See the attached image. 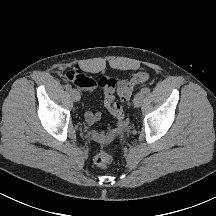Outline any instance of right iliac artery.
<instances>
[{"mask_svg":"<svg viewBox=\"0 0 216 216\" xmlns=\"http://www.w3.org/2000/svg\"><path fill=\"white\" fill-rule=\"evenodd\" d=\"M65 89L68 90V91H70V90L72 89V87H71V85L66 84V85H65Z\"/></svg>","mask_w":216,"mask_h":216,"instance_id":"1","label":"right iliac artery"}]
</instances>
